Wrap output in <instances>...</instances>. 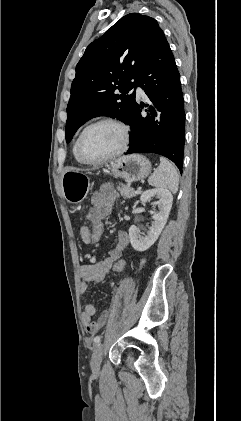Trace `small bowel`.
<instances>
[{
  "label": "small bowel",
  "mask_w": 241,
  "mask_h": 421,
  "mask_svg": "<svg viewBox=\"0 0 241 421\" xmlns=\"http://www.w3.org/2000/svg\"><path fill=\"white\" fill-rule=\"evenodd\" d=\"M117 197V192L111 187L103 188L94 193L92 196V203L95 215L100 219L107 217L112 212ZM89 231L88 226H82L80 228V238L84 243H88ZM128 245V233L120 231L117 234L115 245L112 250L109 251L107 257L99 262L88 263L81 266L79 290L82 295L86 293L89 282H100L105 278L111 270L114 261L122 257ZM95 312L96 309L94 305L88 304L85 306L82 313L83 325L86 332L90 335L95 334L103 325H105L109 317V312L104 311L96 321H93L92 318L95 315Z\"/></svg>",
  "instance_id": "1"
}]
</instances>
